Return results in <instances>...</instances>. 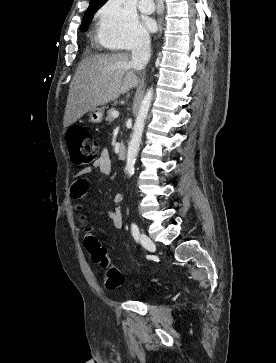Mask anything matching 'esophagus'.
Listing matches in <instances>:
<instances>
[{
    "instance_id": "1",
    "label": "esophagus",
    "mask_w": 276,
    "mask_h": 363,
    "mask_svg": "<svg viewBox=\"0 0 276 363\" xmlns=\"http://www.w3.org/2000/svg\"><path fill=\"white\" fill-rule=\"evenodd\" d=\"M159 21L162 22V18H160Z\"/></svg>"
}]
</instances>
